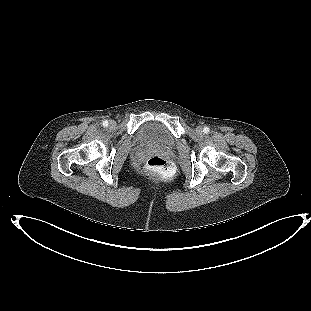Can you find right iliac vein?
Segmentation results:
<instances>
[{
  "label": "right iliac vein",
  "instance_id": "63e3f726",
  "mask_svg": "<svg viewBox=\"0 0 311 311\" xmlns=\"http://www.w3.org/2000/svg\"><path fill=\"white\" fill-rule=\"evenodd\" d=\"M109 127H110V128H115V127H116V122H115L114 120H111V121L109 122Z\"/></svg>",
  "mask_w": 311,
  "mask_h": 311
}]
</instances>
